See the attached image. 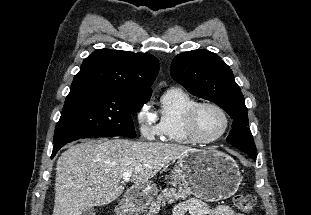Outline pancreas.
Listing matches in <instances>:
<instances>
[{
    "label": "pancreas",
    "instance_id": "pancreas-1",
    "mask_svg": "<svg viewBox=\"0 0 311 215\" xmlns=\"http://www.w3.org/2000/svg\"><path fill=\"white\" fill-rule=\"evenodd\" d=\"M188 193L183 190L179 189L178 191L174 188L168 189L165 188L160 195L151 203L150 207L146 211V215H155L160 211V208L166 205V202L173 203L178 199H185L187 198Z\"/></svg>",
    "mask_w": 311,
    "mask_h": 215
}]
</instances>
